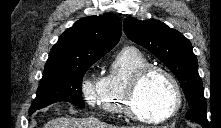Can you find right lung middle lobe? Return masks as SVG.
<instances>
[{
	"instance_id": "obj_1",
	"label": "right lung middle lobe",
	"mask_w": 221,
	"mask_h": 128,
	"mask_svg": "<svg viewBox=\"0 0 221 128\" xmlns=\"http://www.w3.org/2000/svg\"><path fill=\"white\" fill-rule=\"evenodd\" d=\"M100 58L67 67L44 71L29 115L52 103L67 101L85 107L82 98V78L86 71Z\"/></svg>"
}]
</instances>
